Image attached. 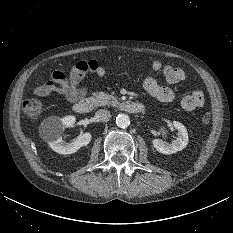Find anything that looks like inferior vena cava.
Returning a JSON list of instances; mask_svg holds the SVG:
<instances>
[{
    "label": "inferior vena cava",
    "mask_w": 233,
    "mask_h": 233,
    "mask_svg": "<svg viewBox=\"0 0 233 233\" xmlns=\"http://www.w3.org/2000/svg\"><path fill=\"white\" fill-rule=\"evenodd\" d=\"M95 117L100 122H107L111 118V114L107 109H100L96 112Z\"/></svg>",
    "instance_id": "602c4592"
}]
</instances>
